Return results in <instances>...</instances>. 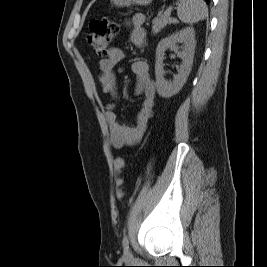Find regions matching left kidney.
<instances>
[{"instance_id":"5707ae66","label":"left kidney","mask_w":267,"mask_h":267,"mask_svg":"<svg viewBox=\"0 0 267 267\" xmlns=\"http://www.w3.org/2000/svg\"><path fill=\"white\" fill-rule=\"evenodd\" d=\"M177 43L183 44L181 51H179ZM195 47V31L192 27H186L179 32H175L158 43L156 48L155 75L156 88L159 96L170 98L181 90L191 71ZM167 49L174 50L177 56L182 59L178 74L174 75L172 81H167L164 78L163 59Z\"/></svg>"}]
</instances>
